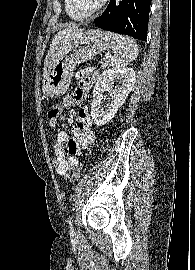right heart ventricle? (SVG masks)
I'll use <instances>...</instances> for the list:
<instances>
[{
  "mask_svg": "<svg viewBox=\"0 0 195 270\" xmlns=\"http://www.w3.org/2000/svg\"><path fill=\"white\" fill-rule=\"evenodd\" d=\"M64 6H65V11H66L67 15H68L71 19L76 20V21H81V20H83V18L79 17L77 14H75V13L71 10V8H70V6H69V1H68V0H64Z\"/></svg>",
  "mask_w": 195,
  "mask_h": 270,
  "instance_id": "right-heart-ventricle-1",
  "label": "right heart ventricle"
}]
</instances>
